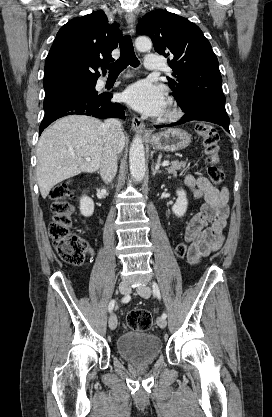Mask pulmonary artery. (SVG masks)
Returning a JSON list of instances; mask_svg holds the SVG:
<instances>
[{
	"instance_id": "e3ab8cb5",
	"label": "pulmonary artery",
	"mask_w": 272,
	"mask_h": 417,
	"mask_svg": "<svg viewBox=\"0 0 272 417\" xmlns=\"http://www.w3.org/2000/svg\"><path fill=\"white\" fill-rule=\"evenodd\" d=\"M146 69L148 70H159L161 69V63L159 56L155 54H148L145 57V63H144Z\"/></svg>"
}]
</instances>
